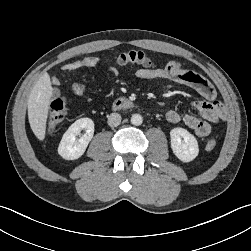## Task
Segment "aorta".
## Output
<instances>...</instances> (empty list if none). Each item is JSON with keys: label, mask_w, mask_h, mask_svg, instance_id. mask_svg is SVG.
<instances>
[{"label": "aorta", "mask_w": 251, "mask_h": 251, "mask_svg": "<svg viewBox=\"0 0 251 251\" xmlns=\"http://www.w3.org/2000/svg\"><path fill=\"white\" fill-rule=\"evenodd\" d=\"M143 122V118L140 114H133L131 117V123L133 125L139 126Z\"/></svg>", "instance_id": "aorta-1"}]
</instances>
